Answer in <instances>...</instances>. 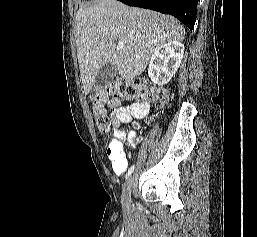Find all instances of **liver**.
Instances as JSON below:
<instances>
[{
  "label": "liver",
  "instance_id": "1",
  "mask_svg": "<svg viewBox=\"0 0 257 237\" xmlns=\"http://www.w3.org/2000/svg\"><path fill=\"white\" fill-rule=\"evenodd\" d=\"M75 33L85 94L104 65L113 64L123 79L130 80L146 69L158 47L185 38L184 28L174 17L116 0L82 5L76 14ZM117 41L124 43L123 49H118Z\"/></svg>",
  "mask_w": 257,
  "mask_h": 237
}]
</instances>
